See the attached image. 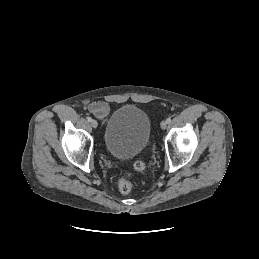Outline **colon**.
<instances>
[{"mask_svg":"<svg viewBox=\"0 0 259 259\" xmlns=\"http://www.w3.org/2000/svg\"><path fill=\"white\" fill-rule=\"evenodd\" d=\"M133 169L137 172H143L145 169V163L141 160H138L133 164ZM118 189L123 195H127L131 192L132 184L129 176H123L118 180Z\"/></svg>","mask_w":259,"mask_h":259,"instance_id":"obj_1","label":"colon"}]
</instances>
